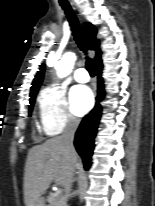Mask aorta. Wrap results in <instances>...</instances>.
<instances>
[{
	"mask_svg": "<svg viewBox=\"0 0 155 206\" xmlns=\"http://www.w3.org/2000/svg\"><path fill=\"white\" fill-rule=\"evenodd\" d=\"M76 57L73 53H66L55 65L58 77L63 78L69 75L73 69Z\"/></svg>",
	"mask_w": 155,
	"mask_h": 206,
	"instance_id": "1",
	"label": "aorta"
}]
</instances>
